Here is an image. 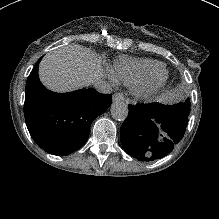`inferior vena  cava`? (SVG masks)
I'll return each instance as SVG.
<instances>
[{"mask_svg":"<svg viewBox=\"0 0 219 219\" xmlns=\"http://www.w3.org/2000/svg\"><path fill=\"white\" fill-rule=\"evenodd\" d=\"M92 84L94 89L100 93L103 94L112 93V86L107 81L96 79Z\"/></svg>","mask_w":219,"mask_h":219,"instance_id":"obj_1","label":"inferior vena cava"}]
</instances>
